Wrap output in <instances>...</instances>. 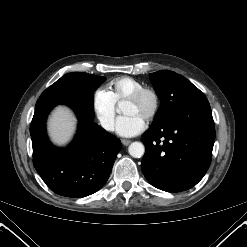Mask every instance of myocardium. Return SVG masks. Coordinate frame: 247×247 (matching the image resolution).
<instances>
[{
	"label": "myocardium",
	"mask_w": 247,
	"mask_h": 247,
	"mask_svg": "<svg viewBox=\"0 0 247 247\" xmlns=\"http://www.w3.org/2000/svg\"><path fill=\"white\" fill-rule=\"evenodd\" d=\"M145 96H149L152 100V107L146 116V120L150 121L156 117L160 109V96L158 92L150 87H142L125 99V102H138Z\"/></svg>",
	"instance_id": "f54148a6"
}]
</instances>
